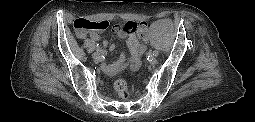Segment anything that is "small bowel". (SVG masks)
<instances>
[{"label": "small bowel", "instance_id": "1", "mask_svg": "<svg viewBox=\"0 0 255 122\" xmlns=\"http://www.w3.org/2000/svg\"><path fill=\"white\" fill-rule=\"evenodd\" d=\"M144 25V24H143ZM145 26V25H144ZM120 38H127V46L130 51V56L122 53L119 57L112 61H108L104 64V69L108 73H117L129 68L132 71L138 69L141 61V57L145 52V45L141 43V39L135 32H128L123 27L115 30ZM83 38H88L92 41H99L101 36L98 31H91L87 33ZM103 45L108 46V41H104ZM115 45L110 46V50L113 51Z\"/></svg>", "mask_w": 255, "mask_h": 122}]
</instances>
